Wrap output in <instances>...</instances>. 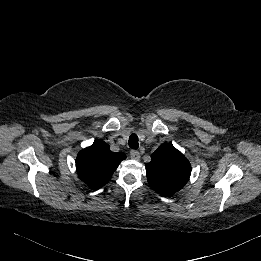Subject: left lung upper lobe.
<instances>
[{"label":"left lung upper lobe","instance_id":"1","mask_svg":"<svg viewBox=\"0 0 261 261\" xmlns=\"http://www.w3.org/2000/svg\"><path fill=\"white\" fill-rule=\"evenodd\" d=\"M146 173L153 190L163 196H171L187 183L191 165L172 144H163L151 155Z\"/></svg>","mask_w":261,"mask_h":261}]
</instances>
